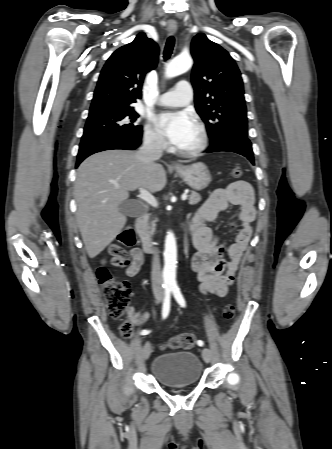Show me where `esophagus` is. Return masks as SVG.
Instances as JSON below:
<instances>
[{"label": "esophagus", "mask_w": 332, "mask_h": 449, "mask_svg": "<svg viewBox=\"0 0 332 449\" xmlns=\"http://www.w3.org/2000/svg\"><path fill=\"white\" fill-rule=\"evenodd\" d=\"M167 29L170 33H175L177 31V25L176 24H168ZM174 167H179L180 165L177 163L173 164Z\"/></svg>", "instance_id": "34e87169"}]
</instances>
